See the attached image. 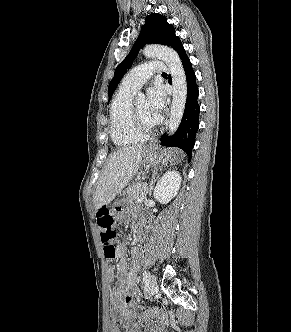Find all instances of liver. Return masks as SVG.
Here are the masks:
<instances>
[{
  "label": "liver",
  "mask_w": 291,
  "mask_h": 332,
  "mask_svg": "<svg viewBox=\"0 0 291 332\" xmlns=\"http://www.w3.org/2000/svg\"><path fill=\"white\" fill-rule=\"evenodd\" d=\"M145 149L142 145L125 147L109 157L93 196L96 210L110 204L137 174Z\"/></svg>",
  "instance_id": "liver-1"
}]
</instances>
